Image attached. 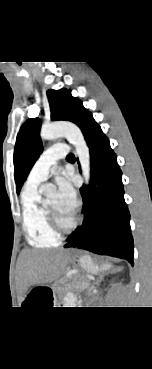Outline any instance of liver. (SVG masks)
I'll return each mask as SVG.
<instances>
[{
  "label": "liver",
  "instance_id": "1",
  "mask_svg": "<svg viewBox=\"0 0 152 369\" xmlns=\"http://www.w3.org/2000/svg\"><path fill=\"white\" fill-rule=\"evenodd\" d=\"M66 257L67 252L63 250H23L19 256L21 282L29 286L57 278L67 262Z\"/></svg>",
  "mask_w": 152,
  "mask_h": 369
}]
</instances>
